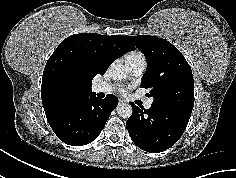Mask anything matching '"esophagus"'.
Returning <instances> with one entry per match:
<instances>
[{
	"mask_svg": "<svg viewBox=\"0 0 236 178\" xmlns=\"http://www.w3.org/2000/svg\"><path fill=\"white\" fill-rule=\"evenodd\" d=\"M124 103V100H122L121 98L118 100V105H121Z\"/></svg>",
	"mask_w": 236,
	"mask_h": 178,
	"instance_id": "obj_1",
	"label": "esophagus"
}]
</instances>
